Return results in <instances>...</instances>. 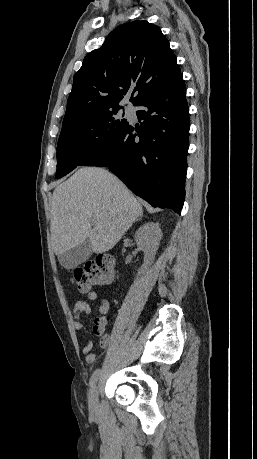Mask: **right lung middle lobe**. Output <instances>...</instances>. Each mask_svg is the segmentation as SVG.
Returning <instances> with one entry per match:
<instances>
[{"label":"right lung middle lobe","instance_id":"right-lung-middle-lobe-1","mask_svg":"<svg viewBox=\"0 0 257 459\" xmlns=\"http://www.w3.org/2000/svg\"><path fill=\"white\" fill-rule=\"evenodd\" d=\"M119 109L115 107L103 111L61 130L56 179L104 152L119 138L129 125L126 119L116 116Z\"/></svg>","mask_w":257,"mask_h":459}]
</instances>
